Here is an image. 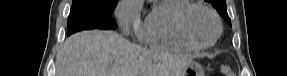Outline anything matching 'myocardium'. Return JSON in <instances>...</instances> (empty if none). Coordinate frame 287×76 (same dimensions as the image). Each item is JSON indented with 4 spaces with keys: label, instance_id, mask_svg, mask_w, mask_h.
<instances>
[{
    "label": "myocardium",
    "instance_id": "1",
    "mask_svg": "<svg viewBox=\"0 0 287 76\" xmlns=\"http://www.w3.org/2000/svg\"><path fill=\"white\" fill-rule=\"evenodd\" d=\"M194 9H202L204 11H206L214 20L216 27H217V31L216 34L214 36V38L208 42V43H198L196 41H194L186 28V19L188 17V15L191 13V11H193ZM175 27H176V31L178 33V35L180 36V38L182 39V41L184 43H186L188 46H190L193 49H208L211 48L213 45H215V43L218 41V39L220 38L221 34H222V23L221 20L219 18V16L216 14V12L211 9L210 7L201 4V3H188L186 6H184L177 14L176 16V20H175Z\"/></svg>",
    "mask_w": 287,
    "mask_h": 76
}]
</instances>
